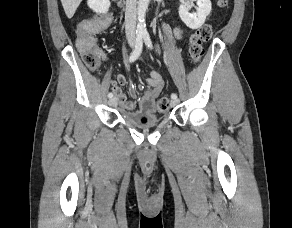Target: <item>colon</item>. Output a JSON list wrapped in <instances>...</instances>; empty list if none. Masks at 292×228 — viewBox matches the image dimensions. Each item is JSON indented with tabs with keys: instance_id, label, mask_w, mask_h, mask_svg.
Segmentation results:
<instances>
[{
	"instance_id": "obj_1",
	"label": "colon",
	"mask_w": 292,
	"mask_h": 228,
	"mask_svg": "<svg viewBox=\"0 0 292 228\" xmlns=\"http://www.w3.org/2000/svg\"><path fill=\"white\" fill-rule=\"evenodd\" d=\"M228 0H218L220 7H225ZM111 23L110 15L83 23L79 28L77 37V47L82 54V58L87 67L96 70L101 62V54L97 47L94 33L104 29ZM213 36V29L210 25L206 24L198 28L189 38L188 56L193 63H198L204 55V43L208 42ZM170 106L168 97H161L157 101V109L159 112L166 111Z\"/></svg>"
}]
</instances>
